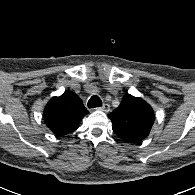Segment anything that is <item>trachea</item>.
<instances>
[{"instance_id":"3493384b","label":"trachea","mask_w":195,"mask_h":195,"mask_svg":"<svg viewBox=\"0 0 195 195\" xmlns=\"http://www.w3.org/2000/svg\"><path fill=\"white\" fill-rule=\"evenodd\" d=\"M100 106H102V101L98 96L94 95L89 99L88 108H95Z\"/></svg>"}]
</instances>
